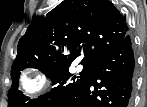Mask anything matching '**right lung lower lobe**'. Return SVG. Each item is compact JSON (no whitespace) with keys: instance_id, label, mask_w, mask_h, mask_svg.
Returning <instances> with one entry per match:
<instances>
[{"instance_id":"98d812e1","label":"right lung lower lobe","mask_w":147,"mask_h":107,"mask_svg":"<svg viewBox=\"0 0 147 107\" xmlns=\"http://www.w3.org/2000/svg\"><path fill=\"white\" fill-rule=\"evenodd\" d=\"M135 58L130 35L112 48L89 78L55 107H131Z\"/></svg>"}]
</instances>
